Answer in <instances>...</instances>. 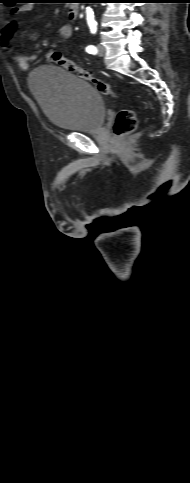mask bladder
<instances>
[{"label": "bladder", "instance_id": "obj_1", "mask_svg": "<svg viewBox=\"0 0 190 483\" xmlns=\"http://www.w3.org/2000/svg\"><path fill=\"white\" fill-rule=\"evenodd\" d=\"M29 87L48 121L70 132L101 128L106 107L100 92L89 82L54 66L35 69Z\"/></svg>", "mask_w": 190, "mask_h": 483}]
</instances>
